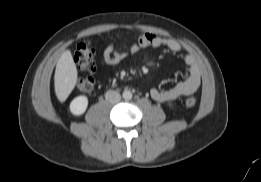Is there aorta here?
<instances>
[{
	"mask_svg": "<svg viewBox=\"0 0 261 182\" xmlns=\"http://www.w3.org/2000/svg\"><path fill=\"white\" fill-rule=\"evenodd\" d=\"M122 96H123V98H124L125 100H130V99H132V92L129 91V90H125V91L123 92Z\"/></svg>",
	"mask_w": 261,
	"mask_h": 182,
	"instance_id": "obj_1",
	"label": "aorta"
}]
</instances>
